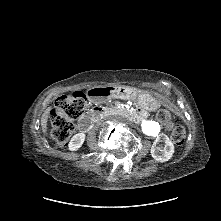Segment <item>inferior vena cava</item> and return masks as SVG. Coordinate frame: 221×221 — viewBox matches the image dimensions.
<instances>
[{
	"mask_svg": "<svg viewBox=\"0 0 221 221\" xmlns=\"http://www.w3.org/2000/svg\"><path fill=\"white\" fill-rule=\"evenodd\" d=\"M114 116V114L113 113H110L109 115H108V118L111 120V118Z\"/></svg>",
	"mask_w": 221,
	"mask_h": 221,
	"instance_id": "602c4592",
	"label": "inferior vena cava"
}]
</instances>
